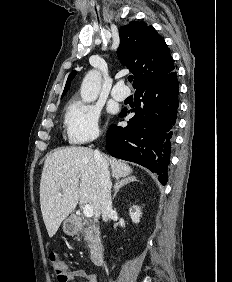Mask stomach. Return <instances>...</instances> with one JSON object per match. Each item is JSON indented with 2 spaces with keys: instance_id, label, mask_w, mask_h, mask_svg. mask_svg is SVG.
<instances>
[{
  "instance_id": "obj_1",
  "label": "stomach",
  "mask_w": 232,
  "mask_h": 282,
  "mask_svg": "<svg viewBox=\"0 0 232 282\" xmlns=\"http://www.w3.org/2000/svg\"><path fill=\"white\" fill-rule=\"evenodd\" d=\"M79 228H80V225L73 216L68 217L63 221L62 229L64 233L69 236H73L77 234L79 231Z\"/></svg>"
}]
</instances>
